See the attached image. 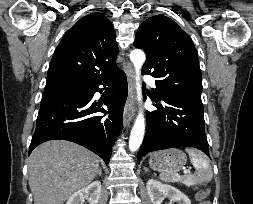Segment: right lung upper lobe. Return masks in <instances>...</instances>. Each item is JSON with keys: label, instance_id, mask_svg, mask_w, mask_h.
Returning a JSON list of instances; mask_svg holds the SVG:
<instances>
[{"label": "right lung upper lobe", "instance_id": "1", "mask_svg": "<svg viewBox=\"0 0 253 204\" xmlns=\"http://www.w3.org/2000/svg\"><path fill=\"white\" fill-rule=\"evenodd\" d=\"M117 54L112 23L99 12L88 14L63 36L52 57L47 82L94 84L120 70Z\"/></svg>", "mask_w": 253, "mask_h": 204}]
</instances>
